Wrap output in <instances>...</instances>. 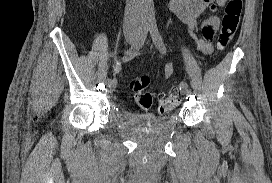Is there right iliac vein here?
<instances>
[{"mask_svg":"<svg viewBox=\"0 0 272 183\" xmlns=\"http://www.w3.org/2000/svg\"><path fill=\"white\" fill-rule=\"evenodd\" d=\"M126 42L132 44L137 39V33L135 31H128L125 34ZM107 89L109 92H112L116 87V81H108L106 80Z\"/></svg>","mask_w":272,"mask_h":183,"instance_id":"1","label":"right iliac vein"}]
</instances>
